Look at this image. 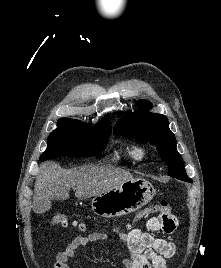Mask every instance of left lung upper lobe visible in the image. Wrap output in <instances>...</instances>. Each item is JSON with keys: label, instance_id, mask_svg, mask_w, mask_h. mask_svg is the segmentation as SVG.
I'll return each mask as SVG.
<instances>
[{"label": "left lung upper lobe", "instance_id": "obj_1", "mask_svg": "<svg viewBox=\"0 0 221 268\" xmlns=\"http://www.w3.org/2000/svg\"><path fill=\"white\" fill-rule=\"evenodd\" d=\"M138 107V111L128 112L117 123L114 133L156 145L162 160L168 165V175L190 182L191 179L186 175L182 158L176 149L175 136L168 127L167 117L148 112L152 105L147 100H140Z\"/></svg>", "mask_w": 221, "mask_h": 268}]
</instances>
